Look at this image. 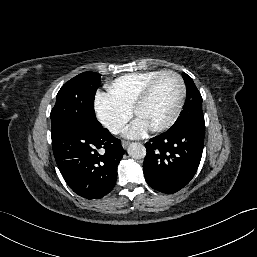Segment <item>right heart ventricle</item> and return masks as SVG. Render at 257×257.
<instances>
[{
  "label": "right heart ventricle",
  "mask_w": 257,
  "mask_h": 257,
  "mask_svg": "<svg viewBox=\"0 0 257 257\" xmlns=\"http://www.w3.org/2000/svg\"><path fill=\"white\" fill-rule=\"evenodd\" d=\"M162 70H150L123 75L107 85V95L116 104L131 110L144 87Z\"/></svg>",
  "instance_id": "1"
}]
</instances>
